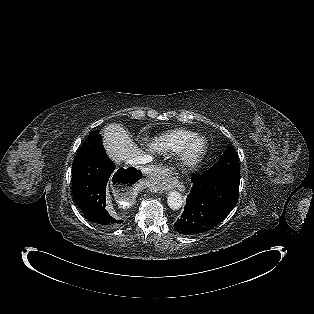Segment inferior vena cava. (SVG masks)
<instances>
[{
    "instance_id": "602c4592",
    "label": "inferior vena cava",
    "mask_w": 314,
    "mask_h": 314,
    "mask_svg": "<svg viewBox=\"0 0 314 314\" xmlns=\"http://www.w3.org/2000/svg\"><path fill=\"white\" fill-rule=\"evenodd\" d=\"M152 161V157L149 155H138L127 160V164L130 165H139L147 164Z\"/></svg>"
}]
</instances>
